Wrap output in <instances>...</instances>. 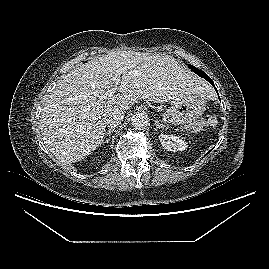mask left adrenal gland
I'll list each match as a JSON object with an SVG mask.
<instances>
[{"instance_id": "a2214340", "label": "left adrenal gland", "mask_w": 269, "mask_h": 269, "mask_svg": "<svg viewBox=\"0 0 269 269\" xmlns=\"http://www.w3.org/2000/svg\"><path fill=\"white\" fill-rule=\"evenodd\" d=\"M154 122H155L156 130H158L160 128L162 129V128L165 127V125H163L162 123H160V121L158 119H155Z\"/></svg>"}]
</instances>
